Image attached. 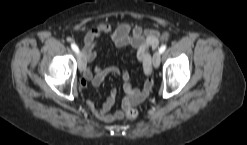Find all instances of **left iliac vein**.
Wrapping results in <instances>:
<instances>
[{
  "label": "left iliac vein",
  "instance_id": "obj_1",
  "mask_svg": "<svg viewBox=\"0 0 247 145\" xmlns=\"http://www.w3.org/2000/svg\"><path fill=\"white\" fill-rule=\"evenodd\" d=\"M160 61H161V53L160 51H156L153 55V59H152V62H153V66L155 68H158L159 65H160Z\"/></svg>",
  "mask_w": 247,
  "mask_h": 145
}]
</instances>
